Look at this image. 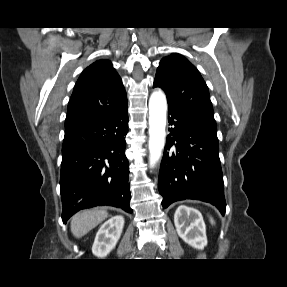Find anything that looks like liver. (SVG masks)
I'll use <instances>...</instances> for the list:
<instances>
[{
    "mask_svg": "<svg viewBox=\"0 0 287 287\" xmlns=\"http://www.w3.org/2000/svg\"><path fill=\"white\" fill-rule=\"evenodd\" d=\"M108 217L104 209H90L78 212L71 219V232L76 238H81Z\"/></svg>",
    "mask_w": 287,
    "mask_h": 287,
    "instance_id": "6515ba94",
    "label": "liver"
}]
</instances>
